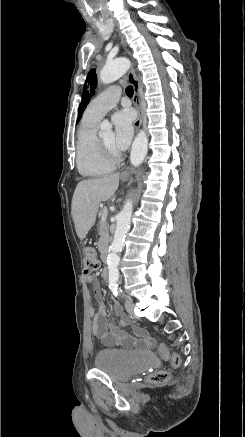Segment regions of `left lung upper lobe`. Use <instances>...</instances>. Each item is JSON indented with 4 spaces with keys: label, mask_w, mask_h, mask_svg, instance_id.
<instances>
[{
    "label": "left lung upper lobe",
    "mask_w": 245,
    "mask_h": 437,
    "mask_svg": "<svg viewBox=\"0 0 245 437\" xmlns=\"http://www.w3.org/2000/svg\"><path fill=\"white\" fill-rule=\"evenodd\" d=\"M96 85H97V76L95 74V69H92L89 71L86 78V83L84 84L83 87L82 101L78 109L79 117L77 119V123L79 122L83 111L85 110L86 106L88 105L92 96L94 95Z\"/></svg>",
    "instance_id": "5c2ea615"
}]
</instances>
